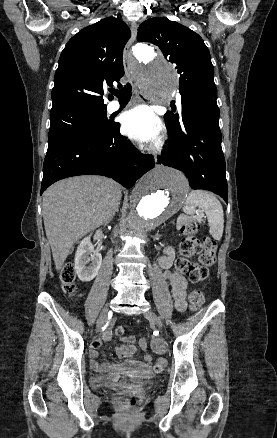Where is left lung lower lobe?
I'll return each mask as SVG.
<instances>
[{"label": "left lung lower lobe", "mask_w": 277, "mask_h": 438, "mask_svg": "<svg viewBox=\"0 0 277 438\" xmlns=\"http://www.w3.org/2000/svg\"><path fill=\"white\" fill-rule=\"evenodd\" d=\"M169 133V147L159 163L184 172L192 189L212 191L228 203L216 99L183 106L177 130Z\"/></svg>", "instance_id": "0a47b994"}]
</instances>
